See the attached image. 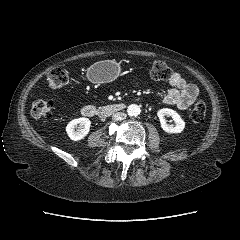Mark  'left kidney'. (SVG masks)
<instances>
[{
  "mask_svg": "<svg viewBox=\"0 0 240 240\" xmlns=\"http://www.w3.org/2000/svg\"><path fill=\"white\" fill-rule=\"evenodd\" d=\"M160 120L161 128L167 133H181L185 128V122L181 116L174 110L169 108L160 109L157 112ZM165 116H171L175 125H168L165 120Z\"/></svg>",
  "mask_w": 240,
  "mask_h": 240,
  "instance_id": "1",
  "label": "left kidney"
}]
</instances>
